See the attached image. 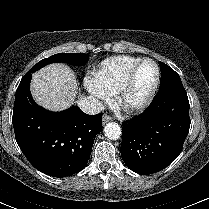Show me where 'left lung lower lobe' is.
<instances>
[{
    "instance_id": "left-lung-lower-lobe-1",
    "label": "left lung lower lobe",
    "mask_w": 209,
    "mask_h": 209,
    "mask_svg": "<svg viewBox=\"0 0 209 209\" xmlns=\"http://www.w3.org/2000/svg\"><path fill=\"white\" fill-rule=\"evenodd\" d=\"M122 125L120 151L128 168L142 175L164 169L181 153L190 128L183 85L160 89L142 114Z\"/></svg>"
}]
</instances>
